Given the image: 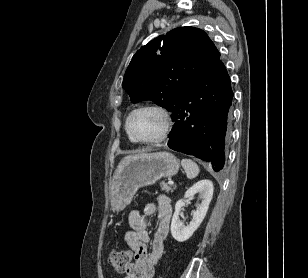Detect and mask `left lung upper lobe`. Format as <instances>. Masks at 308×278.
<instances>
[{"instance_id": "5c2ea615", "label": "left lung upper lobe", "mask_w": 308, "mask_h": 278, "mask_svg": "<svg viewBox=\"0 0 308 278\" xmlns=\"http://www.w3.org/2000/svg\"><path fill=\"white\" fill-rule=\"evenodd\" d=\"M219 60V51L204 31L179 27L136 52L122 86L133 103L152 100L171 111L191 84Z\"/></svg>"}]
</instances>
